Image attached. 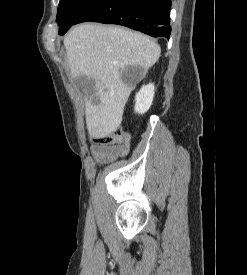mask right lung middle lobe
<instances>
[{
	"mask_svg": "<svg viewBox=\"0 0 247 275\" xmlns=\"http://www.w3.org/2000/svg\"><path fill=\"white\" fill-rule=\"evenodd\" d=\"M98 1L100 0H60L57 13L59 34L66 32L86 9Z\"/></svg>",
	"mask_w": 247,
	"mask_h": 275,
	"instance_id": "right-lung-middle-lobe-1",
	"label": "right lung middle lobe"
}]
</instances>
